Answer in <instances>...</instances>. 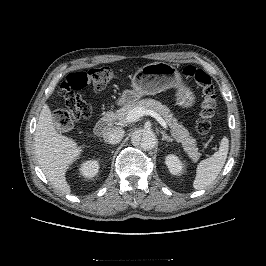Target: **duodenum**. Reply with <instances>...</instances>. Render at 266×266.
Listing matches in <instances>:
<instances>
[{
    "instance_id": "obj_1",
    "label": "duodenum",
    "mask_w": 266,
    "mask_h": 266,
    "mask_svg": "<svg viewBox=\"0 0 266 266\" xmlns=\"http://www.w3.org/2000/svg\"><path fill=\"white\" fill-rule=\"evenodd\" d=\"M112 115H106L102 117L94 127V133L97 136H103L107 133L111 123H112Z\"/></svg>"
}]
</instances>
